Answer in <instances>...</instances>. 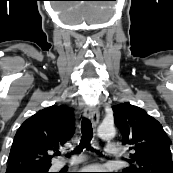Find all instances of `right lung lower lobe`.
<instances>
[{
    "label": "right lung lower lobe",
    "instance_id": "right-lung-lower-lobe-1",
    "mask_svg": "<svg viewBox=\"0 0 173 173\" xmlns=\"http://www.w3.org/2000/svg\"><path fill=\"white\" fill-rule=\"evenodd\" d=\"M21 173H43L42 171H24Z\"/></svg>",
    "mask_w": 173,
    "mask_h": 173
}]
</instances>
